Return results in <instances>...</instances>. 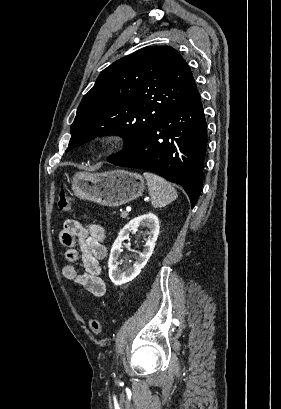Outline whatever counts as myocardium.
Masks as SVG:
<instances>
[{
	"label": "myocardium",
	"mask_w": 281,
	"mask_h": 409,
	"mask_svg": "<svg viewBox=\"0 0 281 409\" xmlns=\"http://www.w3.org/2000/svg\"><path fill=\"white\" fill-rule=\"evenodd\" d=\"M119 142V137L115 134L105 135L103 136L99 143L103 149H110L113 148Z\"/></svg>",
	"instance_id": "f54148a6"
}]
</instances>
